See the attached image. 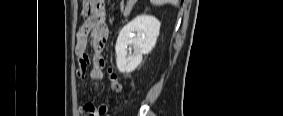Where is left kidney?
I'll use <instances>...</instances> for the list:
<instances>
[{"instance_id":"5707ae66","label":"left kidney","mask_w":283,"mask_h":116,"mask_svg":"<svg viewBox=\"0 0 283 116\" xmlns=\"http://www.w3.org/2000/svg\"><path fill=\"white\" fill-rule=\"evenodd\" d=\"M160 22L150 15H139L125 25L117 38L116 64L121 73H131L151 52L160 31ZM129 50H133L128 53Z\"/></svg>"}]
</instances>
